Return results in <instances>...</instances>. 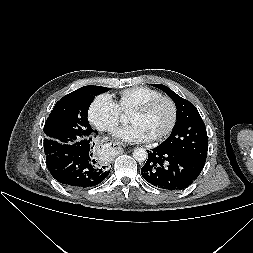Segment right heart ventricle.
<instances>
[{
    "label": "right heart ventricle",
    "instance_id": "obj_1",
    "mask_svg": "<svg viewBox=\"0 0 253 253\" xmlns=\"http://www.w3.org/2000/svg\"><path fill=\"white\" fill-rule=\"evenodd\" d=\"M160 95L158 90L151 87L135 86L119 93L118 105L124 113H131L136 107Z\"/></svg>",
    "mask_w": 253,
    "mask_h": 253
}]
</instances>
